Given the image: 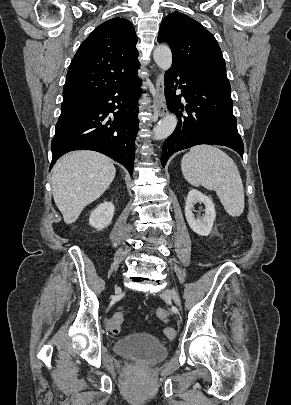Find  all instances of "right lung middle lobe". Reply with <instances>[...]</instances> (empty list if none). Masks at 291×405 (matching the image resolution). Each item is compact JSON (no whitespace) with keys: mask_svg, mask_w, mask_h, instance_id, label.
<instances>
[{"mask_svg":"<svg viewBox=\"0 0 291 405\" xmlns=\"http://www.w3.org/2000/svg\"><path fill=\"white\" fill-rule=\"evenodd\" d=\"M87 102H76V103H68V104H62L61 105V114L59 119H62L70 114H72L73 112H75L76 110H78L79 108H81L82 106H84Z\"/></svg>","mask_w":291,"mask_h":405,"instance_id":"dd1d6c3e","label":"right lung middle lobe"}]
</instances>
